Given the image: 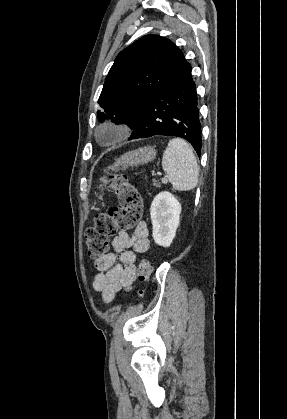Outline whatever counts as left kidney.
<instances>
[{
  "instance_id": "1",
  "label": "left kidney",
  "mask_w": 287,
  "mask_h": 419,
  "mask_svg": "<svg viewBox=\"0 0 287 419\" xmlns=\"http://www.w3.org/2000/svg\"><path fill=\"white\" fill-rule=\"evenodd\" d=\"M181 204L170 192L157 194L150 207L153 226L152 236L156 244L169 247L180 223Z\"/></svg>"
}]
</instances>
